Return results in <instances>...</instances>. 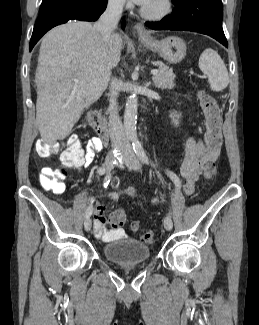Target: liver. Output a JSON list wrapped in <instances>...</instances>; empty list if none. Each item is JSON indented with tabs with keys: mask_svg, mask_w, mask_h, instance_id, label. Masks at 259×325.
I'll use <instances>...</instances> for the list:
<instances>
[{
	"mask_svg": "<svg viewBox=\"0 0 259 325\" xmlns=\"http://www.w3.org/2000/svg\"><path fill=\"white\" fill-rule=\"evenodd\" d=\"M122 48L119 34L106 43L85 21L59 25L43 37L35 73L36 120L46 144L66 138L83 109L99 99Z\"/></svg>",
	"mask_w": 259,
	"mask_h": 325,
	"instance_id": "obj_1",
	"label": "liver"
}]
</instances>
